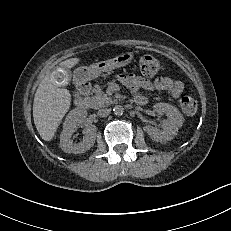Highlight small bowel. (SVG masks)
<instances>
[{
    "label": "small bowel",
    "instance_id": "c3829d8e",
    "mask_svg": "<svg viewBox=\"0 0 231 231\" xmlns=\"http://www.w3.org/2000/svg\"><path fill=\"white\" fill-rule=\"evenodd\" d=\"M118 80L132 91L134 98L143 97L139 94L141 89L167 91L172 98H178L183 92L184 85L182 81L170 77H160L155 80H149L136 74H120Z\"/></svg>",
    "mask_w": 231,
    "mask_h": 231
}]
</instances>
